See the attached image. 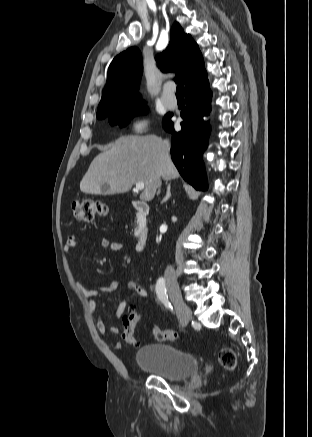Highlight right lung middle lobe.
I'll return each mask as SVG.
<instances>
[{
	"label": "right lung middle lobe",
	"instance_id": "right-lung-middle-lobe-1",
	"mask_svg": "<svg viewBox=\"0 0 312 437\" xmlns=\"http://www.w3.org/2000/svg\"><path fill=\"white\" fill-rule=\"evenodd\" d=\"M146 111V108L144 107V103H133V104H127L124 105L113 112H111L108 115L105 116H99L98 118L102 119L105 117H109V123L111 125H119L120 127L126 126L130 119L134 117L136 114H140L142 112ZM168 116H166V119Z\"/></svg>",
	"mask_w": 312,
	"mask_h": 437
}]
</instances>
